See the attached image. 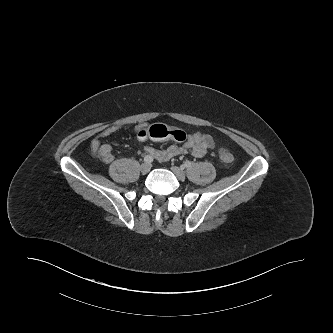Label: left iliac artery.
<instances>
[{
    "label": "left iliac artery",
    "mask_w": 333,
    "mask_h": 333,
    "mask_svg": "<svg viewBox=\"0 0 333 333\" xmlns=\"http://www.w3.org/2000/svg\"><path fill=\"white\" fill-rule=\"evenodd\" d=\"M192 166V163L190 162V161H186V162H184V164H183V167L184 168H190Z\"/></svg>",
    "instance_id": "left-iliac-artery-1"
}]
</instances>
